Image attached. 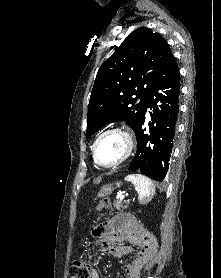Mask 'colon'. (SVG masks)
<instances>
[{"label": "colon", "mask_w": 221, "mask_h": 278, "mask_svg": "<svg viewBox=\"0 0 221 278\" xmlns=\"http://www.w3.org/2000/svg\"><path fill=\"white\" fill-rule=\"evenodd\" d=\"M111 203L110 200L105 198L100 201L98 204V211L101 213L103 210L108 209ZM102 217V214L99 215V218ZM91 266L86 257H80L73 261L70 266L69 275L70 278H90L91 277Z\"/></svg>", "instance_id": "5ec220e1"}]
</instances>
